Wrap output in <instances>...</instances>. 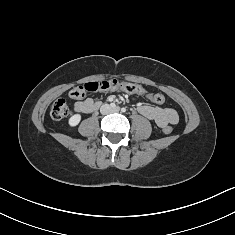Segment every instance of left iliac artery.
Segmentation results:
<instances>
[{
	"label": "left iliac artery",
	"instance_id": "obj_1",
	"mask_svg": "<svg viewBox=\"0 0 235 235\" xmlns=\"http://www.w3.org/2000/svg\"><path fill=\"white\" fill-rule=\"evenodd\" d=\"M121 111H122V112H125V111H126V109H125V108H122V109H121Z\"/></svg>",
	"mask_w": 235,
	"mask_h": 235
}]
</instances>
